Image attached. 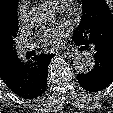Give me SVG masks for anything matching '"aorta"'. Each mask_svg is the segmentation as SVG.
Masks as SVG:
<instances>
[{
    "mask_svg": "<svg viewBox=\"0 0 113 113\" xmlns=\"http://www.w3.org/2000/svg\"><path fill=\"white\" fill-rule=\"evenodd\" d=\"M31 14L42 24H46L50 19L49 14L41 8L33 9ZM94 65V58L90 54H79L73 60L74 69L80 74H86L90 72Z\"/></svg>",
    "mask_w": 113,
    "mask_h": 113,
    "instance_id": "762f6f07",
    "label": "aorta"
}]
</instances>
